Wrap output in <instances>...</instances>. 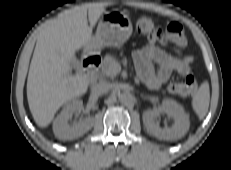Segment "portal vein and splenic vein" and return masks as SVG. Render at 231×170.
<instances>
[{
    "mask_svg": "<svg viewBox=\"0 0 231 170\" xmlns=\"http://www.w3.org/2000/svg\"><path fill=\"white\" fill-rule=\"evenodd\" d=\"M111 68L114 70L115 73H119L121 70V66L119 63L114 64Z\"/></svg>",
    "mask_w": 231,
    "mask_h": 170,
    "instance_id": "portal-vein-and-splenic-vein-1",
    "label": "portal vein and splenic vein"
}]
</instances>
